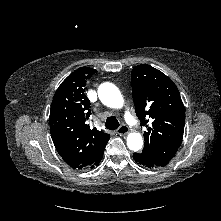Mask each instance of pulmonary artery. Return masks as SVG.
Listing matches in <instances>:
<instances>
[{"label":"pulmonary artery","instance_id":"pulmonary-artery-1","mask_svg":"<svg viewBox=\"0 0 221 221\" xmlns=\"http://www.w3.org/2000/svg\"><path fill=\"white\" fill-rule=\"evenodd\" d=\"M125 117H126V120L128 121V123L134 124V120L128 111H126Z\"/></svg>","mask_w":221,"mask_h":221}]
</instances>
